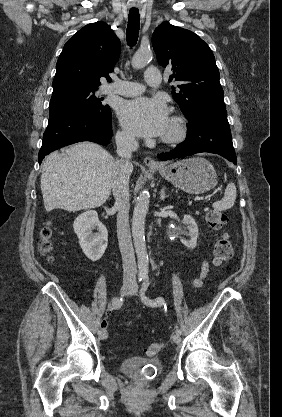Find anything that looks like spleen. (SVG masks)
<instances>
[{"instance_id": "spleen-1", "label": "spleen", "mask_w": 282, "mask_h": 417, "mask_svg": "<svg viewBox=\"0 0 282 417\" xmlns=\"http://www.w3.org/2000/svg\"><path fill=\"white\" fill-rule=\"evenodd\" d=\"M235 200L236 186L234 182H229L226 186L223 198H221V200H217V202H213L214 209H216V211H227V209H231Z\"/></svg>"}]
</instances>
